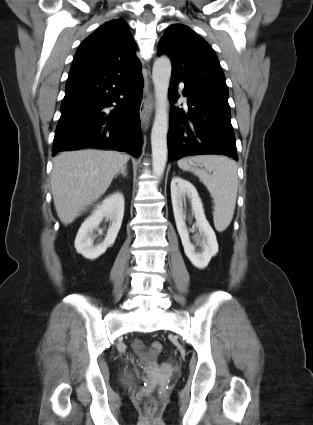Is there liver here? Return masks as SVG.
<instances>
[{
	"label": "liver",
	"mask_w": 313,
	"mask_h": 425,
	"mask_svg": "<svg viewBox=\"0 0 313 425\" xmlns=\"http://www.w3.org/2000/svg\"><path fill=\"white\" fill-rule=\"evenodd\" d=\"M130 157L116 151L62 152L53 160L51 190L60 221L72 223L99 199Z\"/></svg>",
	"instance_id": "1"
}]
</instances>
